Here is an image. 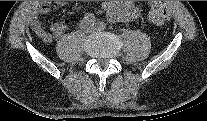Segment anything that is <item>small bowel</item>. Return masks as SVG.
Segmentation results:
<instances>
[{
	"mask_svg": "<svg viewBox=\"0 0 207 121\" xmlns=\"http://www.w3.org/2000/svg\"><path fill=\"white\" fill-rule=\"evenodd\" d=\"M66 5L64 1H58L54 3L44 2L37 4L29 14V23L35 34L44 42H50L52 39V34L55 36H60L65 32L68 27L69 21H54L51 24L50 30L52 32H47L40 20V14H48L55 9L61 8ZM103 8L107 18L111 21H124L130 20L138 15V9L130 1L125 2H104Z\"/></svg>",
	"mask_w": 207,
	"mask_h": 121,
	"instance_id": "small-bowel-1",
	"label": "small bowel"
}]
</instances>
